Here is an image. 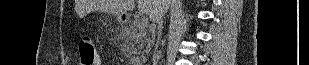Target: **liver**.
Returning a JSON list of instances; mask_svg holds the SVG:
<instances>
[{
  "mask_svg": "<svg viewBox=\"0 0 309 65\" xmlns=\"http://www.w3.org/2000/svg\"><path fill=\"white\" fill-rule=\"evenodd\" d=\"M138 11L147 14L151 21L158 22L164 14L162 0H137ZM135 8V0H81L79 10L102 11L116 15L125 14Z\"/></svg>",
  "mask_w": 309,
  "mask_h": 65,
  "instance_id": "6515ba94",
  "label": "liver"
}]
</instances>
